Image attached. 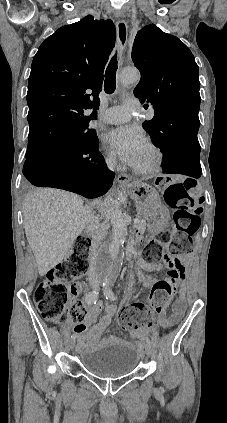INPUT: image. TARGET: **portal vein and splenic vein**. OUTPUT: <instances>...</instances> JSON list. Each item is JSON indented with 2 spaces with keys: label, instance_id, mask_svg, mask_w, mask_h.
<instances>
[{
  "label": "portal vein and splenic vein",
  "instance_id": "18ae733b",
  "mask_svg": "<svg viewBox=\"0 0 227 423\" xmlns=\"http://www.w3.org/2000/svg\"><path fill=\"white\" fill-rule=\"evenodd\" d=\"M139 219H137V217H135L134 219V223H138Z\"/></svg>",
  "mask_w": 227,
  "mask_h": 423
}]
</instances>
